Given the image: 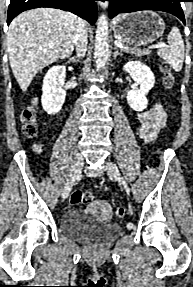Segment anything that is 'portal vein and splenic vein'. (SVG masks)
Returning a JSON list of instances; mask_svg holds the SVG:
<instances>
[{
    "label": "portal vein and splenic vein",
    "mask_w": 193,
    "mask_h": 287,
    "mask_svg": "<svg viewBox=\"0 0 193 287\" xmlns=\"http://www.w3.org/2000/svg\"><path fill=\"white\" fill-rule=\"evenodd\" d=\"M114 44L119 47V48H122L123 47V44L119 41H115ZM155 48H164V47H167L165 44H158V45H155L153 46Z\"/></svg>",
    "instance_id": "obj_1"
}]
</instances>
